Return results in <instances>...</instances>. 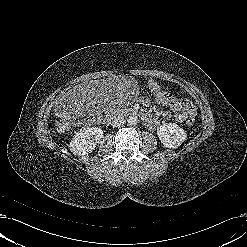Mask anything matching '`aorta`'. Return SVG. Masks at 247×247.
Segmentation results:
<instances>
[{"mask_svg":"<svg viewBox=\"0 0 247 247\" xmlns=\"http://www.w3.org/2000/svg\"><path fill=\"white\" fill-rule=\"evenodd\" d=\"M127 122H128L129 125L135 126V125L138 124L139 119H138L137 116L131 115V116L128 117Z\"/></svg>","mask_w":247,"mask_h":247,"instance_id":"obj_1","label":"aorta"}]
</instances>
